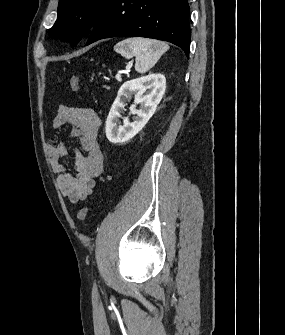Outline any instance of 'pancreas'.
<instances>
[{"mask_svg":"<svg viewBox=\"0 0 285 335\" xmlns=\"http://www.w3.org/2000/svg\"><path fill=\"white\" fill-rule=\"evenodd\" d=\"M104 88H106V90H110V88H108V86H104Z\"/></svg>","mask_w":285,"mask_h":335,"instance_id":"pancreas-1","label":"pancreas"}]
</instances>
